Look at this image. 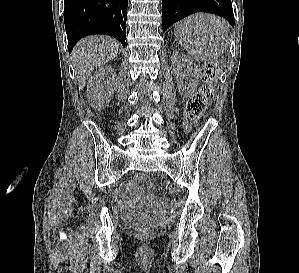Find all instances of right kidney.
<instances>
[{"instance_id": "obj_1", "label": "right kidney", "mask_w": 299, "mask_h": 273, "mask_svg": "<svg viewBox=\"0 0 299 273\" xmlns=\"http://www.w3.org/2000/svg\"><path fill=\"white\" fill-rule=\"evenodd\" d=\"M115 71L111 66L99 68L90 77L87 84V98L94 108L102 110L109 103L114 91L113 81L105 82V78H113Z\"/></svg>"}]
</instances>
